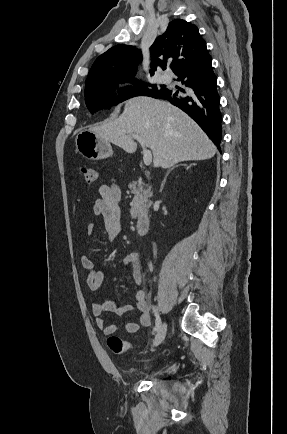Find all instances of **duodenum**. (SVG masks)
I'll return each mask as SVG.
<instances>
[{
	"instance_id": "obj_1",
	"label": "duodenum",
	"mask_w": 287,
	"mask_h": 434,
	"mask_svg": "<svg viewBox=\"0 0 287 434\" xmlns=\"http://www.w3.org/2000/svg\"><path fill=\"white\" fill-rule=\"evenodd\" d=\"M150 225V218L146 215H142L138 218L136 229L139 236L147 234Z\"/></svg>"
}]
</instances>
